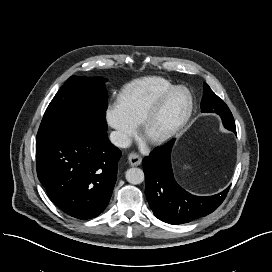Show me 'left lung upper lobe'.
<instances>
[{
  "label": "left lung upper lobe",
  "mask_w": 272,
  "mask_h": 272,
  "mask_svg": "<svg viewBox=\"0 0 272 272\" xmlns=\"http://www.w3.org/2000/svg\"><path fill=\"white\" fill-rule=\"evenodd\" d=\"M201 109L202 112H212L217 114L230 111L224 101L220 99L206 83H204L203 88ZM231 126L233 128L235 127V122L233 120L231 121Z\"/></svg>",
  "instance_id": "5c2ea615"
}]
</instances>
